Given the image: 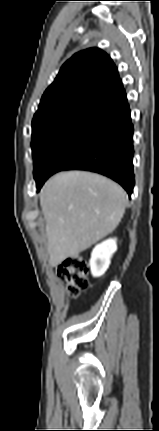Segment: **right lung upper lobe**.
<instances>
[{"mask_svg": "<svg viewBox=\"0 0 159 431\" xmlns=\"http://www.w3.org/2000/svg\"><path fill=\"white\" fill-rule=\"evenodd\" d=\"M127 100L117 68L98 48L74 54L46 89L33 121L66 114L89 119Z\"/></svg>", "mask_w": 159, "mask_h": 431, "instance_id": "cb5924a9", "label": "right lung upper lobe"}]
</instances>
